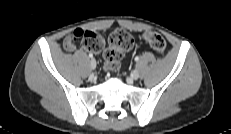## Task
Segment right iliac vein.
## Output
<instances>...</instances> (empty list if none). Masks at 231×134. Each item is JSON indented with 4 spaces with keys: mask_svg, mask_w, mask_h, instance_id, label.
Instances as JSON below:
<instances>
[{
    "mask_svg": "<svg viewBox=\"0 0 231 134\" xmlns=\"http://www.w3.org/2000/svg\"><path fill=\"white\" fill-rule=\"evenodd\" d=\"M90 66H91L92 69L96 68V61H95V59H93V58L91 59Z\"/></svg>",
    "mask_w": 231,
    "mask_h": 134,
    "instance_id": "63e3f726",
    "label": "right iliac vein"
}]
</instances>
